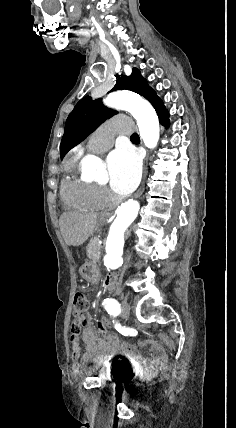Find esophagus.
Here are the masks:
<instances>
[{
    "label": "esophagus",
    "instance_id": "obj_1",
    "mask_svg": "<svg viewBox=\"0 0 236 428\" xmlns=\"http://www.w3.org/2000/svg\"><path fill=\"white\" fill-rule=\"evenodd\" d=\"M147 161H148V156H146L145 158V167H144V174H143V178L141 181V184L138 188V190L135 193V198L141 197V195L143 194L144 190H145V180L147 178V173H148V169H147Z\"/></svg>",
    "mask_w": 236,
    "mask_h": 428
}]
</instances>
